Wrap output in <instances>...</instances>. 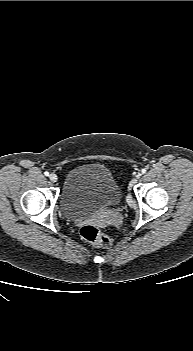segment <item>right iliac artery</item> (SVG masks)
I'll return each mask as SVG.
<instances>
[{"mask_svg": "<svg viewBox=\"0 0 193 351\" xmlns=\"http://www.w3.org/2000/svg\"><path fill=\"white\" fill-rule=\"evenodd\" d=\"M44 175L49 176V172L48 171L44 172Z\"/></svg>", "mask_w": 193, "mask_h": 351, "instance_id": "1", "label": "right iliac artery"}]
</instances>
